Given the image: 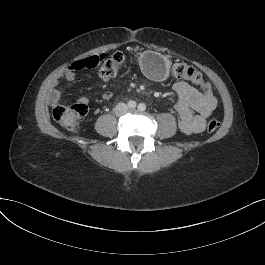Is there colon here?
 <instances>
[{
	"instance_id": "obj_1",
	"label": "colon",
	"mask_w": 265,
	"mask_h": 265,
	"mask_svg": "<svg viewBox=\"0 0 265 265\" xmlns=\"http://www.w3.org/2000/svg\"><path fill=\"white\" fill-rule=\"evenodd\" d=\"M125 62V55L122 52H115L110 55L96 54L84 59L75 61L70 67L71 73L86 69L99 67V75L103 80H110L116 77ZM171 74L176 78H183L197 84L203 90L210 89L207 82L199 71L194 67L185 63L175 64L171 69ZM88 112L85 104L76 103L72 105H57L53 109V116L62 126L71 131H78L81 120ZM219 121L211 116L206 122V127L209 132L218 129Z\"/></svg>"
}]
</instances>
